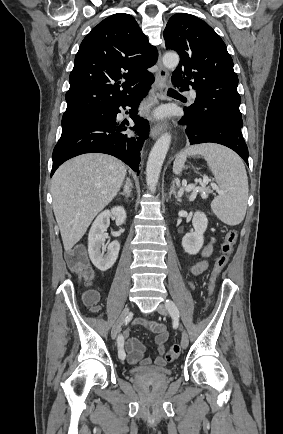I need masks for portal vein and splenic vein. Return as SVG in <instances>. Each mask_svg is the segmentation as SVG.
Listing matches in <instances>:
<instances>
[{
	"label": "portal vein and splenic vein",
	"instance_id": "obj_1",
	"mask_svg": "<svg viewBox=\"0 0 283 434\" xmlns=\"http://www.w3.org/2000/svg\"><path fill=\"white\" fill-rule=\"evenodd\" d=\"M202 182L204 184H207L209 182V178L204 175ZM211 186H212L213 189L218 190V186L216 184L212 183ZM194 187H195V185H193V184L188 185V186L185 187V191L186 192H190Z\"/></svg>",
	"mask_w": 283,
	"mask_h": 434
}]
</instances>
